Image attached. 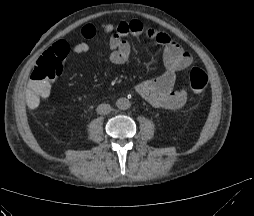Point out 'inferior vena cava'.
Wrapping results in <instances>:
<instances>
[{
  "mask_svg": "<svg viewBox=\"0 0 254 216\" xmlns=\"http://www.w3.org/2000/svg\"><path fill=\"white\" fill-rule=\"evenodd\" d=\"M97 113L100 115H107L111 112V106L109 104H100L97 109Z\"/></svg>",
  "mask_w": 254,
  "mask_h": 216,
  "instance_id": "602c4592",
  "label": "inferior vena cava"
}]
</instances>
